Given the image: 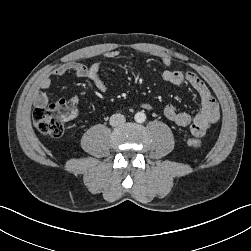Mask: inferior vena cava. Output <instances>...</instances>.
<instances>
[{
  "instance_id": "inferior-vena-cava-1",
  "label": "inferior vena cava",
  "mask_w": 251,
  "mask_h": 251,
  "mask_svg": "<svg viewBox=\"0 0 251 251\" xmlns=\"http://www.w3.org/2000/svg\"><path fill=\"white\" fill-rule=\"evenodd\" d=\"M126 121L124 115L122 114H113L111 117H110V125L111 126H120L122 124H124Z\"/></svg>"
}]
</instances>
